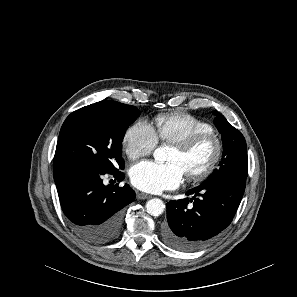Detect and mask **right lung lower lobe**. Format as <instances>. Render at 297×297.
<instances>
[{
	"label": "right lung lower lobe",
	"instance_id": "98d812e1",
	"mask_svg": "<svg viewBox=\"0 0 297 297\" xmlns=\"http://www.w3.org/2000/svg\"><path fill=\"white\" fill-rule=\"evenodd\" d=\"M101 171L76 162L53 164V175L62 210L75 231L88 241L107 243L117 238L123 208L135 199V192L124 187L105 186ZM119 181L121 172L112 174Z\"/></svg>",
	"mask_w": 297,
	"mask_h": 297
}]
</instances>
